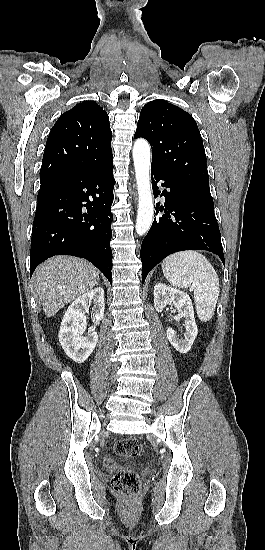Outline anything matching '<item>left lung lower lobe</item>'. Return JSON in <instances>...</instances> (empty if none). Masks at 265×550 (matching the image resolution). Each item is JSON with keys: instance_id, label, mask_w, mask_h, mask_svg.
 <instances>
[{"instance_id": "0a47b994", "label": "left lung lower lobe", "mask_w": 265, "mask_h": 550, "mask_svg": "<svg viewBox=\"0 0 265 550\" xmlns=\"http://www.w3.org/2000/svg\"><path fill=\"white\" fill-rule=\"evenodd\" d=\"M152 188L155 197L160 194V180L165 189L164 206L156 205V211H164L155 217L141 245L142 282L147 274L168 255L183 250H207L217 254L225 263L221 235L214 214L213 200L173 184L159 170L151 167Z\"/></svg>"}]
</instances>
